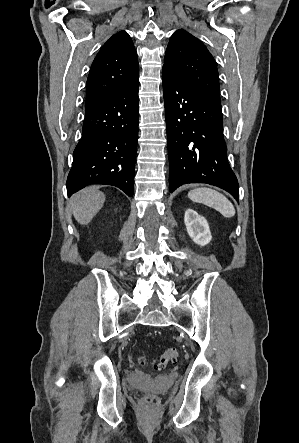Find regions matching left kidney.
<instances>
[{
	"label": "left kidney",
	"instance_id": "5707ae66",
	"mask_svg": "<svg viewBox=\"0 0 299 443\" xmlns=\"http://www.w3.org/2000/svg\"><path fill=\"white\" fill-rule=\"evenodd\" d=\"M184 223L188 235L197 245L205 246L210 243L212 239L211 232L208 222L203 216L198 215L192 209H188L185 212Z\"/></svg>",
	"mask_w": 299,
	"mask_h": 443
}]
</instances>
